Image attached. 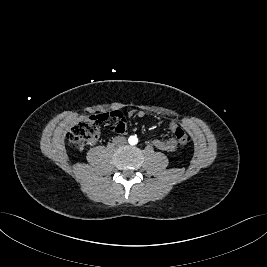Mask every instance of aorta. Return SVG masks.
Instances as JSON below:
<instances>
[{"label": "aorta", "mask_w": 267, "mask_h": 267, "mask_svg": "<svg viewBox=\"0 0 267 267\" xmlns=\"http://www.w3.org/2000/svg\"><path fill=\"white\" fill-rule=\"evenodd\" d=\"M128 141H129V144L135 145V144H137L138 139L136 136H130Z\"/></svg>", "instance_id": "aorta-1"}]
</instances>
